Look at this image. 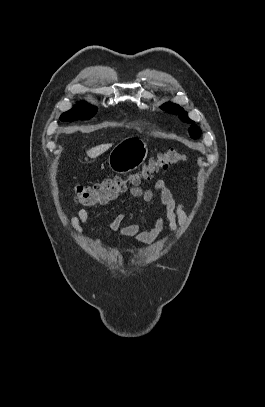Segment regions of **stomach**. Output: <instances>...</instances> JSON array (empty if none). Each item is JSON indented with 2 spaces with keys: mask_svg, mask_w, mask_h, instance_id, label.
Wrapping results in <instances>:
<instances>
[{
  "mask_svg": "<svg viewBox=\"0 0 265 407\" xmlns=\"http://www.w3.org/2000/svg\"><path fill=\"white\" fill-rule=\"evenodd\" d=\"M147 144L141 139H127L110 152L108 163L112 171L126 174L138 168L147 158Z\"/></svg>",
  "mask_w": 265,
  "mask_h": 407,
  "instance_id": "stomach-1",
  "label": "stomach"
}]
</instances>
